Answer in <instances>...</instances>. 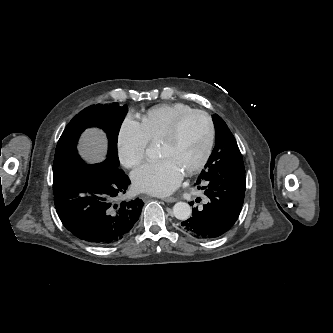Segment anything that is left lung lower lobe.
Here are the masks:
<instances>
[{"instance_id":"left-lung-lower-lobe-1","label":"left lung lower lobe","mask_w":333,"mask_h":333,"mask_svg":"<svg viewBox=\"0 0 333 333\" xmlns=\"http://www.w3.org/2000/svg\"><path fill=\"white\" fill-rule=\"evenodd\" d=\"M195 185L205 194L207 202L194 207L192 217L181 225L200 239L223 235L234 225L241 212L246 189L245 175L222 177L215 172L202 171Z\"/></svg>"}]
</instances>
